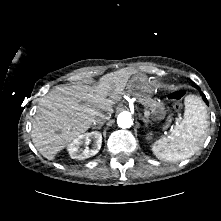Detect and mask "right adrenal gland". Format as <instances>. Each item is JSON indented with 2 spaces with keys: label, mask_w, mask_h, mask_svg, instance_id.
<instances>
[{
  "label": "right adrenal gland",
  "mask_w": 221,
  "mask_h": 221,
  "mask_svg": "<svg viewBox=\"0 0 221 221\" xmlns=\"http://www.w3.org/2000/svg\"><path fill=\"white\" fill-rule=\"evenodd\" d=\"M101 127H102V125H99V126H94V127H93V129H98V130H100V129H101Z\"/></svg>",
  "instance_id": "right-adrenal-gland-1"
}]
</instances>
